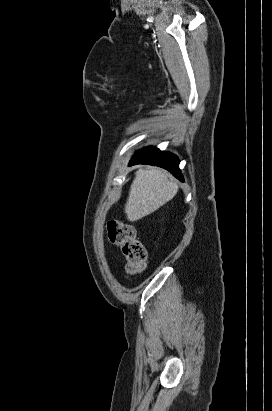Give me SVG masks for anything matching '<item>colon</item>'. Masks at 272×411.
<instances>
[{
    "instance_id": "colon-1",
    "label": "colon",
    "mask_w": 272,
    "mask_h": 411,
    "mask_svg": "<svg viewBox=\"0 0 272 411\" xmlns=\"http://www.w3.org/2000/svg\"><path fill=\"white\" fill-rule=\"evenodd\" d=\"M109 240L120 246L126 258V270L137 275L146 267V249L136 236L133 225L121 221H110L107 224Z\"/></svg>"
}]
</instances>
